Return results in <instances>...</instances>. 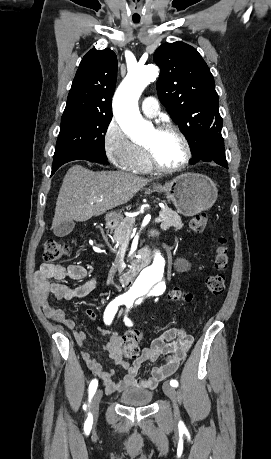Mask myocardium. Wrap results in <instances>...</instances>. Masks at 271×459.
Returning a JSON list of instances; mask_svg holds the SVG:
<instances>
[{"mask_svg":"<svg viewBox=\"0 0 271 459\" xmlns=\"http://www.w3.org/2000/svg\"><path fill=\"white\" fill-rule=\"evenodd\" d=\"M158 132L164 133V132H173L176 135H178L184 145L185 148V154L184 157L176 162V163H166L162 161L156 152L154 151L153 148H151L149 145L144 144V147L147 151L148 157L151 160L152 164L159 170L161 171H177L185 168L192 160L193 158V149L192 145L190 143L189 138L185 134V132L175 123L168 121L159 124L155 128Z\"/></svg>","mask_w":271,"mask_h":459,"instance_id":"1","label":"myocardium"}]
</instances>
